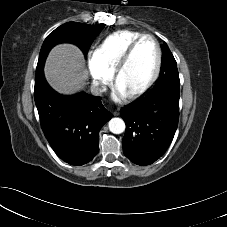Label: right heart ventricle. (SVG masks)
<instances>
[{
	"instance_id": "e07e8e85",
	"label": "right heart ventricle",
	"mask_w": 227,
	"mask_h": 227,
	"mask_svg": "<svg viewBox=\"0 0 227 227\" xmlns=\"http://www.w3.org/2000/svg\"><path fill=\"white\" fill-rule=\"evenodd\" d=\"M141 33L133 30H119L106 36L94 51L100 64L111 74L129 44Z\"/></svg>"
}]
</instances>
